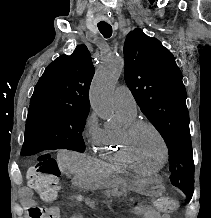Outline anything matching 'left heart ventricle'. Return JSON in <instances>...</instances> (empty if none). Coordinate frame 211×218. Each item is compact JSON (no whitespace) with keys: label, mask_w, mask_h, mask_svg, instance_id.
Wrapping results in <instances>:
<instances>
[{"label":"left heart ventricle","mask_w":211,"mask_h":218,"mask_svg":"<svg viewBox=\"0 0 211 218\" xmlns=\"http://www.w3.org/2000/svg\"><path fill=\"white\" fill-rule=\"evenodd\" d=\"M134 154L143 163L159 164L163 150L157 135L148 127L139 128L133 139Z\"/></svg>","instance_id":"1"}]
</instances>
